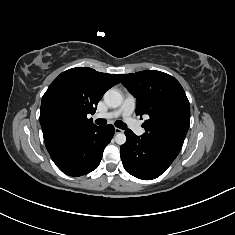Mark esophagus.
<instances>
[{"label":"esophagus","instance_id":"obj_1","mask_svg":"<svg viewBox=\"0 0 235 235\" xmlns=\"http://www.w3.org/2000/svg\"><path fill=\"white\" fill-rule=\"evenodd\" d=\"M121 132H123V130L122 129H120V128H115V134H118V133H121Z\"/></svg>","mask_w":235,"mask_h":235}]
</instances>
